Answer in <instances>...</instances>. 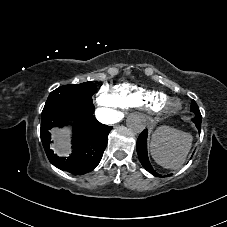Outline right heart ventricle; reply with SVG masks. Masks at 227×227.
<instances>
[{
  "label": "right heart ventricle",
  "instance_id": "obj_1",
  "mask_svg": "<svg viewBox=\"0 0 227 227\" xmlns=\"http://www.w3.org/2000/svg\"><path fill=\"white\" fill-rule=\"evenodd\" d=\"M111 92L121 108L150 112H154L159 103L168 98L161 91L148 90L128 83L114 86Z\"/></svg>",
  "mask_w": 227,
  "mask_h": 227
}]
</instances>
